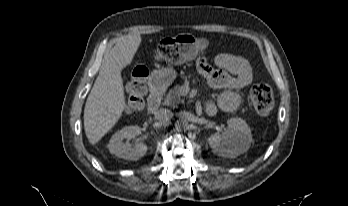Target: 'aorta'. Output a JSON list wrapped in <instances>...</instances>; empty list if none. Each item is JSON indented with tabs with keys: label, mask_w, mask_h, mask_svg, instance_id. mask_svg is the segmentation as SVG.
Returning a JSON list of instances; mask_svg holds the SVG:
<instances>
[{
	"label": "aorta",
	"mask_w": 348,
	"mask_h": 206,
	"mask_svg": "<svg viewBox=\"0 0 348 206\" xmlns=\"http://www.w3.org/2000/svg\"><path fill=\"white\" fill-rule=\"evenodd\" d=\"M188 127H189V124H188V122L185 119H181V120H178L176 122V128L177 129L186 130V129H188Z\"/></svg>",
	"instance_id": "762f6f07"
}]
</instances>
